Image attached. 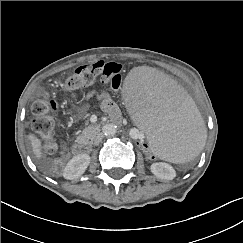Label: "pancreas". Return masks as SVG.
<instances>
[{
    "mask_svg": "<svg viewBox=\"0 0 243 243\" xmlns=\"http://www.w3.org/2000/svg\"><path fill=\"white\" fill-rule=\"evenodd\" d=\"M100 129L98 126L89 125L87 126L82 133L77 137L78 142L88 143L91 142L97 133H99Z\"/></svg>",
    "mask_w": 243,
    "mask_h": 243,
    "instance_id": "obj_1",
    "label": "pancreas"
}]
</instances>
